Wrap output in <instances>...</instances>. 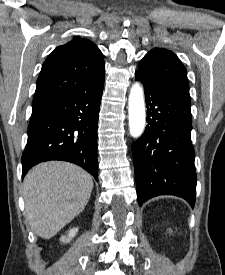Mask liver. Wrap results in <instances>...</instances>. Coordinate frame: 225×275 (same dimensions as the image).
<instances>
[{
  "instance_id": "liver-1",
  "label": "liver",
  "mask_w": 225,
  "mask_h": 275,
  "mask_svg": "<svg viewBox=\"0 0 225 275\" xmlns=\"http://www.w3.org/2000/svg\"><path fill=\"white\" fill-rule=\"evenodd\" d=\"M92 188L91 175L74 164L51 161L33 167L23 181L25 212L33 232L52 238L84 210Z\"/></svg>"
}]
</instances>
